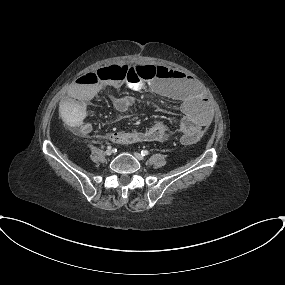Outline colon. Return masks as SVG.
<instances>
[{
  "label": "colon",
  "mask_w": 285,
  "mask_h": 285,
  "mask_svg": "<svg viewBox=\"0 0 285 285\" xmlns=\"http://www.w3.org/2000/svg\"><path fill=\"white\" fill-rule=\"evenodd\" d=\"M119 69L116 65L102 68L90 73H81L77 80L82 83H95L106 78H113L117 75ZM130 72L136 75L140 81H153L158 77H164L166 75V69L160 66L136 64L130 67ZM79 119L72 123V126H77ZM201 134L198 130H194L188 134L182 136L181 141L183 144L190 145L200 140Z\"/></svg>",
  "instance_id": "obj_1"
}]
</instances>
